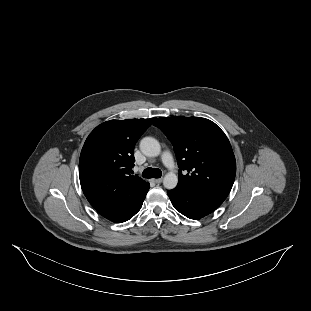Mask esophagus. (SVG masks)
I'll list each match as a JSON object with an SVG mask.
<instances>
[{
	"instance_id": "esophagus-1",
	"label": "esophagus",
	"mask_w": 311,
	"mask_h": 311,
	"mask_svg": "<svg viewBox=\"0 0 311 311\" xmlns=\"http://www.w3.org/2000/svg\"><path fill=\"white\" fill-rule=\"evenodd\" d=\"M163 181V178H158V179H155L154 180V182L156 183V184H159V183H161Z\"/></svg>"
}]
</instances>
